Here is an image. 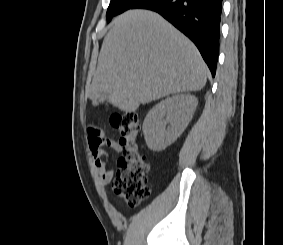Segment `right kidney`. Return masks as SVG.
I'll return each instance as SVG.
<instances>
[{
    "mask_svg": "<svg viewBox=\"0 0 283 245\" xmlns=\"http://www.w3.org/2000/svg\"><path fill=\"white\" fill-rule=\"evenodd\" d=\"M197 104L198 99L191 94L174 95L156 104L143 122L148 148L161 151L172 144L191 121Z\"/></svg>",
    "mask_w": 283,
    "mask_h": 245,
    "instance_id": "obj_1",
    "label": "right kidney"
}]
</instances>
